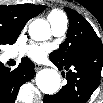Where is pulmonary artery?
I'll list each match as a JSON object with an SVG mask.
<instances>
[{"label":"pulmonary artery","instance_id":"obj_1","mask_svg":"<svg viewBox=\"0 0 103 103\" xmlns=\"http://www.w3.org/2000/svg\"><path fill=\"white\" fill-rule=\"evenodd\" d=\"M49 22H50L52 33L54 36L61 37L65 34V32L67 30V19L65 16L61 17L58 20L49 21ZM15 55H16L15 52L10 53L11 57H13Z\"/></svg>","mask_w":103,"mask_h":103}]
</instances>
